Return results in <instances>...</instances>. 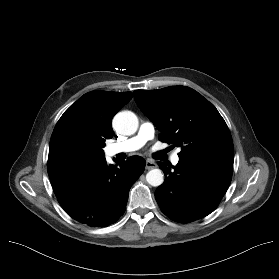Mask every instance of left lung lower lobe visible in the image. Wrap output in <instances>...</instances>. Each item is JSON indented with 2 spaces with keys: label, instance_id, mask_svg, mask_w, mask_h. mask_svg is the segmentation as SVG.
Segmentation results:
<instances>
[{
  "label": "left lung lower lobe",
  "instance_id": "obj_1",
  "mask_svg": "<svg viewBox=\"0 0 279 279\" xmlns=\"http://www.w3.org/2000/svg\"><path fill=\"white\" fill-rule=\"evenodd\" d=\"M164 183L155 199L166 216L177 222H192L210 214L227 191L233 160L212 157H181L178 164L166 166Z\"/></svg>",
  "mask_w": 279,
  "mask_h": 279
}]
</instances>
